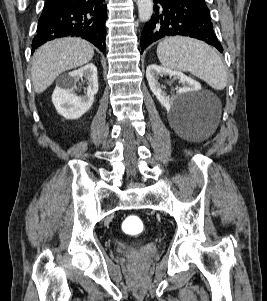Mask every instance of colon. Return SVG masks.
I'll return each instance as SVG.
<instances>
[{"mask_svg": "<svg viewBox=\"0 0 267 301\" xmlns=\"http://www.w3.org/2000/svg\"><path fill=\"white\" fill-rule=\"evenodd\" d=\"M122 230L128 235H138L143 231V222L138 216L129 215L122 223Z\"/></svg>", "mask_w": 267, "mask_h": 301, "instance_id": "5ec220e1", "label": "colon"}]
</instances>
